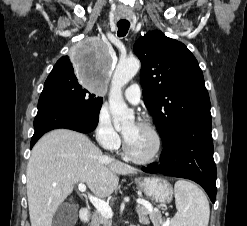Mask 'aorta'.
<instances>
[{
  "instance_id": "762f6f07",
  "label": "aorta",
  "mask_w": 247,
  "mask_h": 226,
  "mask_svg": "<svg viewBox=\"0 0 247 226\" xmlns=\"http://www.w3.org/2000/svg\"><path fill=\"white\" fill-rule=\"evenodd\" d=\"M140 69L138 59H126L118 63L111 81L109 106L115 128L129 125L134 119L122 96V88L137 74Z\"/></svg>"
}]
</instances>
